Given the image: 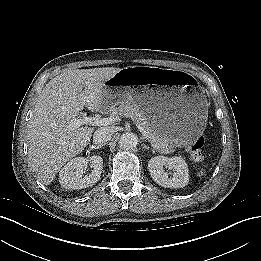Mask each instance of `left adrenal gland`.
<instances>
[{"label":"left adrenal gland","mask_w":261,"mask_h":261,"mask_svg":"<svg viewBox=\"0 0 261 261\" xmlns=\"http://www.w3.org/2000/svg\"><path fill=\"white\" fill-rule=\"evenodd\" d=\"M142 148H143V149H147V150H149V149H150V147H149V146H147V145H145V144H142ZM153 152H154V150H153Z\"/></svg>","instance_id":"obj_1"}]
</instances>
